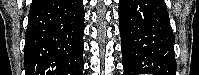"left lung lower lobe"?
<instances>
[{"label": "left lung lower lobe", "instance_id": "left-lung-lower-lobe-1", "mask_svg": "<svg viewBox=\"0 0 199 75\" xmlns=\"http://www.w3.org/2000/svg\"><path fill=\"white\" fill-rule=\"evenodd\" d=\"M124 75H175L174 35L164 0H119Z\"/></svg>", "mask_w": 199, "mask_h": 75}]
</instances>
